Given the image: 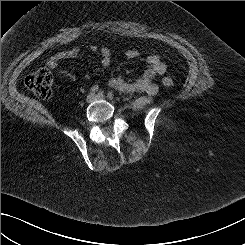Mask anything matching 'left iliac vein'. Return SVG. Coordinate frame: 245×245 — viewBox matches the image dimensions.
Wrapping results in <instances>:
<instances>
[{
  "mask_svg": "<svg viewBox=\"0 0 245 245\" xmlns=\"http://www.w3.org/2000/svg\"><path fill=\"white\" fill-rule=\"evenodd\" d=\"M96 99L97 100H103V99H105V96L104 95H97Z\"/></svg>",
  "mask_w": 245,
  "mask_h": 245,
  "instance_id": "1",
  "label": "left iliac vein"
}]
</instances>
